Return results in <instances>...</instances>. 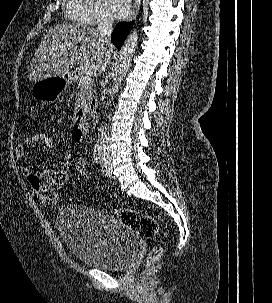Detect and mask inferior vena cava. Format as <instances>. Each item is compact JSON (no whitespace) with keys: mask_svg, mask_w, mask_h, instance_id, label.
Returning a JSON list of instances; mask_svg holds the SVG:
<instances>
[{"mask_svg":"<svg viewBox=\"0 0 272 303\" xmlns=\"http://www.w3.org/2000/svg\"><path fill=\"white\" fill-rule=\"evenodd\" d=\"M97 31L105 43H110V38L113 31L112 18L108 15H103L99 19ZM109 61H110V56L108 57V62ZM98 141L100 145V153L102 160H110V150L108 146V137H107L105 126H103V129H101L98 135Z\"/></svg>","mask_w":272,"mask_h":303,"instance_id":"1","label":"inferior vena cava"}]
</instances>
